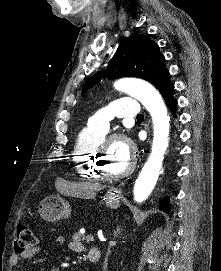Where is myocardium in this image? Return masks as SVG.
<instances>
[{
	"label": "myocardium",
	"mask_w": 221,
	"mask_h": 271,
	"mask_svg": "<svg viewBox=\"0 0 221 271\" xmlns=\"http://www.w3.org/2000/svg\"><path fill=\"white\" fill-rule=\"evenodd\" d=\"M112 142H125V145H134V140H129L127 133H115L114 137H110V140H105V145H98V150H103L101 153L104 155L106 152L104 150L109 149V145H112ZM128 150L130 148L128 147ZM97 163L99 164L98 172L100 173L101 178H110V179H128V175H131V172L137 170L136 158L130 157L126 170H122L121 173H109L108 166L104 165V158H97Z\"/></svg>",
	"instance_id": "f54148a6"
}]
</instances>
